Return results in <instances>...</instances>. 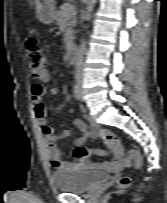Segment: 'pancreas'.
<instances>
[{
    "label": "pancreas",
    "mask_w": 167,
    "mask_h": 203,
    "mask_svg": "<svg viewBox=\"0 0 167 203\" xmlns=\"http://www.w3.org/2000/svg\"><path fill=\"white\" fill-rule=\"evenodd\" d=\"M70 4H63L56 13V24L60 30L64 32L65 49H69L74 39V27L76 25L75 11L73 13L66 12L65 8Z\"/></svg>",
    "instance_id": "pancreas-1"
}]
</instances>
